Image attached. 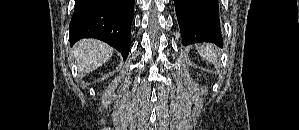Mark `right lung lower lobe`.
Returning <instances> with one entry per match:
<instances>
[{"mask_svg": "<svg viewBox=\"0 0 299 130\" xmlns=\"http://www.w3.org/2000/svg\"><path fill=\"white\" fill-rule=\"evenodd\" d=\"M135 0H76L69 25L70 44L96 38L117 49L126 59L130 51Z\"/></svg>", "mask_w": 299, "mask_h": 130, "instance_id": "right-lung-lower-lobe-1", "label": "right lung lower lobe"}]
</instances>
